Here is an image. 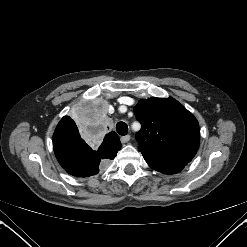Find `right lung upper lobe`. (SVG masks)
<instances>
[{"label": "right lung upper lobe", "instance_id": "1", "mask_svg": "<svg viewBox=\"0 0 247 247\" xmlns=\"http://www.w3.org/2000/svg\"><path fill=\"white\" fill-rule=\"evenodd\" d=\"M55 132H67L74 135H79L78 128L75 122L69 116H65L61 119V121L58 123L55 129ZM120 147L121 143L118 135L115 132H110L106 134L99 148L104 149L106 151H118Z\"/></svg>", "mask_w": 247, "mask_h": 247}]
</instances>
